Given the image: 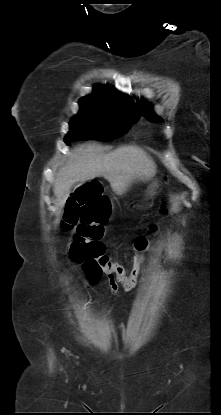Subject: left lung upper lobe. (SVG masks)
I'll use <instances>...</instances> for the list:
<instances>
[{
	"instance_id": "5c2ea615",
	"label": "left lung upper lobe",
	"mask_w": 221,
	"mask_h": 415,
	"mask_svg": "<svg viewBox=\"0 0 221 415\" xmlns=\"http://www.w3.org/2000/svg\"><path fill=\"white\" fill-rule=\"evenodd\" d=\"M139 109L141 110V113L144 117H146L151 122H162V119H160L158 116H156L150 105H147L143 102H138Z\"/></svg>"
}]
</instances>
